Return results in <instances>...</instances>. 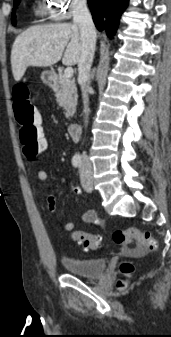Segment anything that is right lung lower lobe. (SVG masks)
Instances as JSON below:
<instances>
[{
  "instance_id": "1",
  "label": "right lung lower lobe",
  "mask_w": 171,
  "mask_h": 337,
  "mask_svg": "<svg viewBox=\"0 0 171 337\" xmlns=\"http://www.w3.org/2000/svg\"><path fill=\"white\" fill-rule=\"evenodd\" d=\"M129 0H88L93 20L100 31L109 38L115 34L120 15L128 5Z\"/></svg>"
}]
</instances>
